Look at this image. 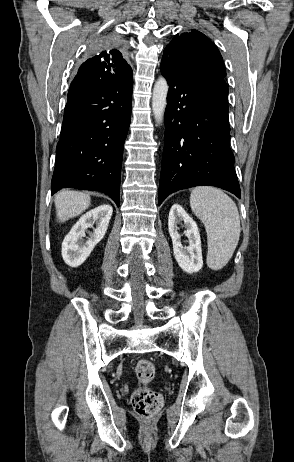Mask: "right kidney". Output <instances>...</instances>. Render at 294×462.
I'll return each instance as SVG.
<instances>
[{
	"label": "right kidney",
	"instance_id": "ca27d5eb",
	"mask_svg": "<svg viewBox=\"0 0 294 462\" xmlns=\"http://www.w3.org/2000/svg\"><path fill=\"white\" fill-rule=\"evenodd\" d=\"M112 212V206L103 204L88 211L76 222L62 242V257L67 265L76 268L88 258L95 245L104 237ZM94 223L96 228L93 227ZM86 233L89 237L84 241Z\"/></svg>",
	"mask_w": 294,
	"mask_h": 462
}]
</instances>
